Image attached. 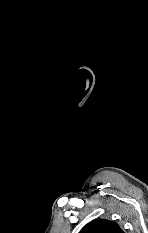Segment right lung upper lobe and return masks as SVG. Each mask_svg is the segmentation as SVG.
I'll list each match as a JSON object with an SVG mask.
<instances>
[{"label":"right lung upper lobe","mask_w":148,"mask_h":233,"mask_svg":"<svg viewBox=\"0 0 148 233\" xmlns=\"http://www.w3.org/2000/svg\"><path fill=\"white\" fill-rule=\"evenodd\" d=\"M79 233H124L116 223L98 219L88 223Z\"/></svg>","instance_id":"obj_1"}]
</instances>
